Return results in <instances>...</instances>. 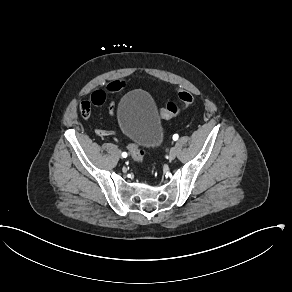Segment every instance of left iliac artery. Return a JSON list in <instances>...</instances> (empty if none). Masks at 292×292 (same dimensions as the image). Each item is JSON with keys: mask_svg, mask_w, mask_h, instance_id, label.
<instances>
[{"mask_svg": "<svg viewBox=\"0 0 292 292\" xmlns=\"http://www.w3.org/2000/svg\"><path fill=\"white\" fill-rule=\"evenodd\" d=\"M177 139H178V135L177 134L173 135V140L176 141Z\"/></svg>", "mask_w": 292, "mask_h": 292, "instance_id": "obj_1", "label": "left iliac artery"}]
</instances>
